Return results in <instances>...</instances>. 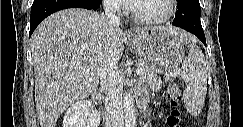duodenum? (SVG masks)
Segmentation results:
<instances>
[{
    "label": "duodenum",
    "instance_id": "obj_1",
    "mask_svg": "<svg viewBox=\"0 0 243 127\" xmlns=\"http://www.w3.org/2000/svg\"><path fill=\"white\" fill-rule=\"evenodd\" d=\"M92 100L94 102H97L99 100V97L97 95H94L92 97ZM146 102H147V96L146 95H143V94H140V96H139V105H140V108L141 109H144V107L146 105Z\"/></svg>",
    "mask_w": 243,
    "mask_h": 127
}]
</instances>
